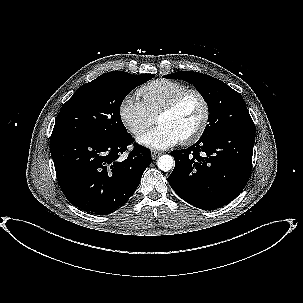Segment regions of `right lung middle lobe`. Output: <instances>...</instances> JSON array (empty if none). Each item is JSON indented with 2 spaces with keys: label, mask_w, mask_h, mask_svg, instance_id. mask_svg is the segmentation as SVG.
Masks as SVG:
<instances>
[{
  "label": "right lung middle lobe",
  "mask_w": 303,
  "mask_h": 303,
  "mask_svg": "<svg viewBox=\"0 0 303 303\" xmlns=\"http://www.w3.org/2000/svg\"><path fill=\"white\" fill-rule=\"evenodd\" d=\"M154 76L114 71L84 84L62 106L51 137L83 134L112 138L127 134L119 114L121 103L129 92Z\"/></svg>",
  "instance_id": "obj_1"
}]
</instances>
